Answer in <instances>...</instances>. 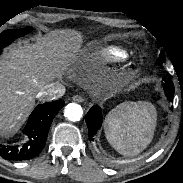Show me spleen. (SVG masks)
<instances>
[{
	"instance_id": "3e777b00",
	"label": "spleen",
	"mask_w": 183,
	"mask_h": 183,
	"mask_svg": "<svg viewBox=\"0 0 183 183\" xmlns=\"http://www.w3.org/2000/svg\"><path fill=\"white\" fill-rule=\"evenodd\" d=\"M155 126L156 110L151 103H124L107 115L105 134L120 154L132 156L152 141Z\"/></svg>"
}]
</instances>
